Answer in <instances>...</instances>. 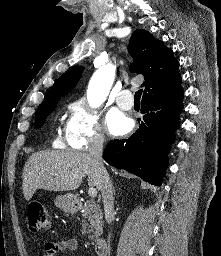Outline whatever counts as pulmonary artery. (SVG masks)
I'll return each mask as SVG.
<instances>
[{
	"label": "pulmonary artery",
	"instance_id": "e3ab8cb5",
	"mask_svg": "<svg viewBox=\"0 0 221 256\" xmlns=\"http://www.w3.org/2000/svg\"><path fill=\"white\" fill-rule=\"evenodd\" d=\"M117 105L123 110H130L133 107V95L128 89L121 90L116 97Z\"/></svg>",
	"mask_w": 221,
	"mask_h": 256
}]
</instances>
